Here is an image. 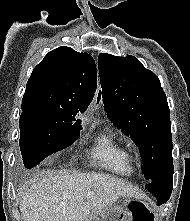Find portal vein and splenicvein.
I'll return each mask as SVG.
<instances>
[{
  "mask_svg": "<svg viewBox=\"0 0 190 221\" xmlns=\"http://www.w3.org/2000/svg\"><path fill=\"white\" fill-rule=\"evenodd\" d=\"M93 196V192H88L87 193V198H91Z\"/></svg>",
  "mask_w": 190,
  "mask_h": 221,
  "instance_id": "portal-vein-and-splenic-vein-1",
  "label": "portal vein and splenic vein"
}]
</instances>
